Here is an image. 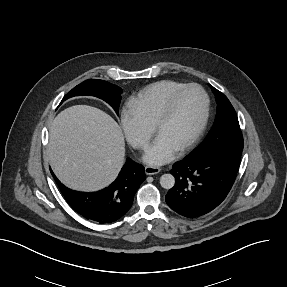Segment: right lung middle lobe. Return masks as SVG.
<instances>
[{
    "label": "right lung middle lobe",
    "mask_w": 287,
    "mask_h": 287,
    "mask_svg": "<svg viewBox=\"0 0 287 287\" xmlns=\"http://www.w3.org/2000/svg\"><path fill=\"white\" fill-rule=\"evenodd\" d=\"M122 89L103 80L90 79L77 85L62 101L79 95H91L106 101L118 114Z\"/></svg>",
    "instance_id": "right-lung-middle-lobe-1"
}]
</instances>
